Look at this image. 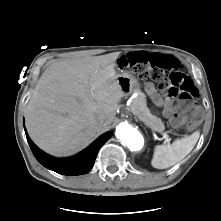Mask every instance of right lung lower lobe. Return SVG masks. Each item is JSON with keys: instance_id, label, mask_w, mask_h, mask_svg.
<instances>
[{"instance_id": "1", "label": "right lung lower lobe", "mask_w": 221, "mask_h": 221, "mask_svg": "<svg viewBox=\"0 0 221 221\" xmlns=\"http://www.w3.org/2000/svg\"><path fill=\"white\" fill-rule=\"evenodd\" d=\"M111 135L110 131L106 132L81 153L73 157L57 159L41 151L26 133L27 141L36 159L48 169L63 175H81L91 170L99 149Z\"/></svg>"}]
</instances>
